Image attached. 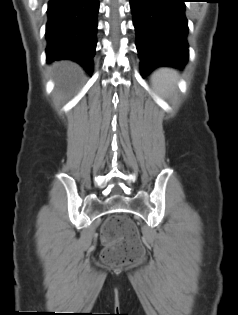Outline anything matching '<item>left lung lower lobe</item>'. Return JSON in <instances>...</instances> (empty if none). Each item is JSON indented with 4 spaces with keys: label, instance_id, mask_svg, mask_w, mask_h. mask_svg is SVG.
Listing matches in <instances>:
<instances>
[{
    "label": "left lung lower lobe",
    "instance_id": "left-lung-lower-lobe-1",
    "mask_svg": "<svg viewBox=\"0 0 238 315\" xmlns=\"http://www.w3.org/2000/svg\"><path fill=\"white\" fill-rule=\"evenodd\" d=\"M186 0H130L144 76L159 66L182 69L188 61Z\"/></svg>",
    "mask_w": 238,
    "mask_h": 315
}]
</instances>
